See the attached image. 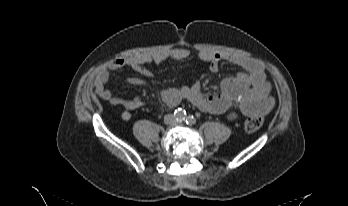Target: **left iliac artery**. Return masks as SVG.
Returning a JSON list of instances; mask_svg holds the SVG:
<instances>
[{
  "mask_svg": "<svg viewBox=\"0 0 348 206\" xmlns=\"http://www.w3.org/2000/svg\"><path fill=\"white\" fill-rule=\"evenodd\" d=\"M196 123V118L193 115H189L186 118V124L187 125H194Z\"/></svg>",
  "mask_w": 348,
  "mask_h": 206,
  "instance_id": "1",
  "label": "left iliac artery"
}]
</instances>
